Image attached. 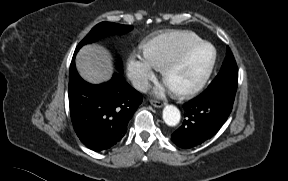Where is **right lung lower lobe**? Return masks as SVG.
<instances>
[{"instance_id": "1", "label": "right lung lower lobe", "mask_w": 288, "mask_h": 181, "mask_svg": "<svg viewBox=\"0 0 288 181\" xmlns=\"http://www.w3.org/2000/svg\"><path fill=\"white\" fill-rule=\"evenodd\" d=\"M69 106L74 130L88 148L108 150L121 141L142 95L120 74L100 85L84 81L72 60L69 70Z\"/></svg>"}]
</instances>
